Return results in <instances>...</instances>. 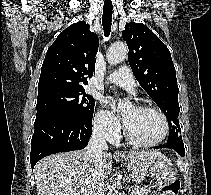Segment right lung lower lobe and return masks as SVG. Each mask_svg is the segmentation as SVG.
Returning <instances> with one entry per match:
<instances>
[{
	"instance_id": "obj_1",
	"label": "right lung lower lobe",
	"mask_w": 211,
	"mask_h": 195,
	"mask_svg": "<svg viewBox=\"0 0 211 195\" xmlns=\"http://www.w3.org/2000/svg\"><path fill=\"white\" fill-rule=\"evenodd\" d=\"M30 163L47 155L83 149L92 135V120L48 116L35 120Z\"/></svg>"
}]
</instances>
